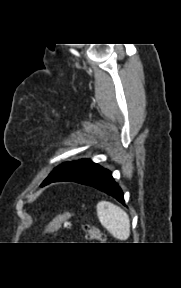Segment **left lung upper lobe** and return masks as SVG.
Segmentation results:
<instances>
[{
	"instance_id": "left-lung-upper-lobe-1",
	"label": "left lung upper lobe",
	"mask_w": 181,
	"mask_h": 288,
	"mask_svg": "<svg viewBox=\"0 0 181 288\" xmlns=\"http://www.w3.org/2000/svg\"><path fill=\"white\" fill-rule=\"evenodd\" d=\"M100 168L101 166L92 162L89 159H80L76 161L65 162L56 167L43 181V183L57 181L79 182L80 180L90 176Z\"/></svg>"
}]
</instances>
